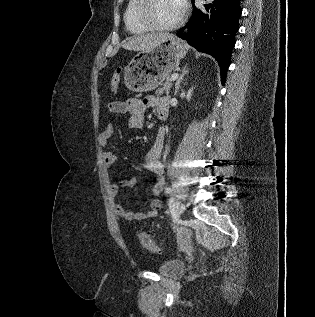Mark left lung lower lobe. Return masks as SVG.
I'll use <instances>...</instances> for the list:
<instances>
[{"instance_id":"0a47b994","label":"left lung lower lobe","mask_w":315,"mask_h":317,"mask_svg":"<svg viewBox=\"0 0 315 317\" xmlns=\"http://www.w3.org/2000/svg\"><path fill=\"white\" fill-rule=\"evenodd\" d=\"M193 4V14L184 28L176 35L187 40L198 51L212 55L220 66L221 81L225 83L226 72L231 63V51L239 29L242 13L240 0H214L198 9ZM188 28L189 32L183 33Z\"/></svg>"}]
</instances>
